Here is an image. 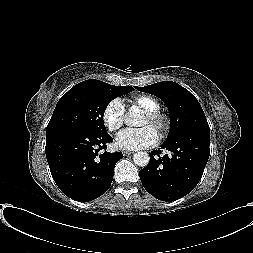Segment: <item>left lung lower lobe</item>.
Returning a JSON list of instances; mask_svg holds the SVG:
<instances>
[{"label":"left lung lower lobe","mask_w":253,"mask_h":253,"mask_svg":"<svg viewBox=\"0 0 253 253\" xmlns=\"http://www.w3.org/2000/svg\"><path fill=\"white\" fill-rule=\"evenodd\" d=\"M210 133L188 131L166 140L161 149L171 155L150 154L148 165L139 171L144 188L155 198L174 201L192 191L200 181L207 164Z\"/></svg>","instance_id":"obj_1"}]
</instances>
